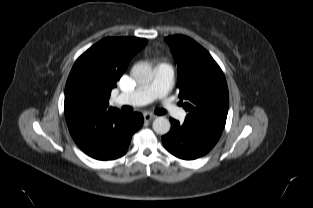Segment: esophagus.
I'll return each instance as SVG.
<instances>
[{
  "instance_id": "esophagus-1",
  "label": "esophagus",
  "mask_w": 313,
  "mask_h": 208,
  "mask_svg": "<svg viewBox=\"0 0 313 208\" xmlns=\"http://www.w3.org/2000/svg\"><path fill=\"white\" fill-rule=\"evenodd\" d=\"M143 117H144L145 121H151V120L155 119L157 116L154 114H151V113H145L143 115Z\"/></svg>"
}]
</instances>
